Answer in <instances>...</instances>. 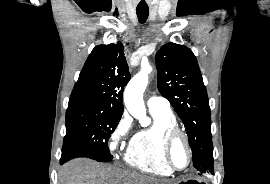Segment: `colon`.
<instances>
[{
    "instance_id": "colon-1",
    "label": "colon",
    "mask_w": 270,
    "mask_h": 184,
    "mask_svg": "<svg viewBox=\"0 0 270 184\" xmlns=\"http://www.w3.org/2000/svg\"><path fill=\"white\" fill-rule=\"evenodd\" d=\"M196 184H205V183H196Z\"/></svg>"
}]
</instances>
